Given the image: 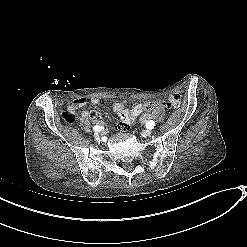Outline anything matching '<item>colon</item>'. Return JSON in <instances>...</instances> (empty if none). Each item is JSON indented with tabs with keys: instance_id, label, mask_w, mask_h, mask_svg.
I'll return each instance as SVG.
<instances>
[{
	"instance_id": "obj_1",
	"label": "colon",
	"mask_w": 247,
	"mask_h": 247,
	"mask_svg": "<svg viewBox=\"0 0 247 247\" xmlns=\"http://www.w3.org/2000/svg\"><path fill=\"white\" fill-rule=\"evenodd\" d=\"M166 104L162 101H148L145 104L147 111H160L165 108ZM61 120L66 124H73L76 122L77 117L71 111H63L60 115Z\"/></svg>"
}]
</instances>
